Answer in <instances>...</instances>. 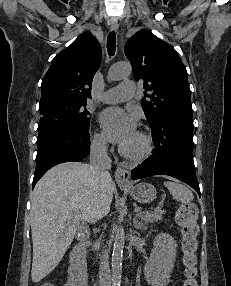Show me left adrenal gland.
I'll return each instance as SVG.
<instances>
[{
    "label": "left adrenal gland",
    "mask_w": 231,
    "mask_h": 286,
    "mask_svg": "<svg viewBox=\"0 0 231 286\" xmlns=\"http://www.w3.org/2000/svg\"><path fill=\"white\" fill-rule=\"evenodd\" d=\"M133 225L136 229L146 230V224L143 222H138L136 217L133 219Z\"/></svg>",
    "instance_id": "1"
}]
</instances>
